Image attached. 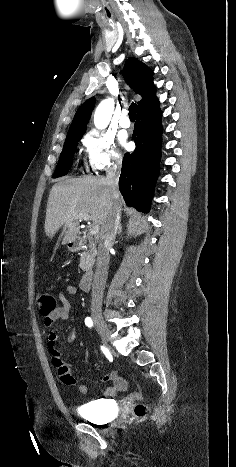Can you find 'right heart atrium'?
<instances>
[{
	"mask_svg": "<svg viewBox=\"0 0 236 467\" xmlns=\"http://www.w3.org/2000/svg\"><path fill=\"white\" fill-rule=\"evenodd\" d=\"M86 164L94 171H102L116 166L120 155L114 138L100 131H90L82 139Z\"/></svg>",
	"mask_w": 236,
	"mask_h": 467,
	"instance_id": "1",
	"label": "right heart atrium"
}]
</instances>
